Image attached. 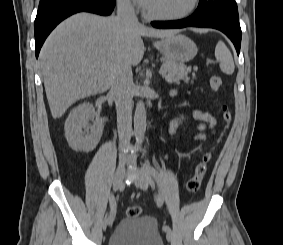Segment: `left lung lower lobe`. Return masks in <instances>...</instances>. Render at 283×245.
I'll return each instance as SVG.
<instances>
[{
    "instance_id": "1",
    "label": "left lung lower lobe",
    "mask_w": 283,
    "mask_h": 245,
    "mask_svg": "<svg viewBox=\"0 0 283 245\" xmlns=\"http://www.w3.org/2000/svg\"><path fill=\"white\" fill-rule=\"evenodd\" d=\"M156 28H184V27H206L215 28L226 34L233 42L237 54L240 52L241 46V28L239 23H234L225 19L214 17H198L191 15L190 17L176 21L152 22Z\"/></svg>"
}]
</instances>
